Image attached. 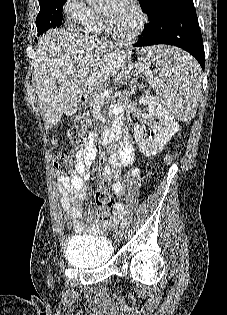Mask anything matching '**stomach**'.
Segmentation results:
<instances>
[{
	"label": "stomach",
	"mask_w": 227,
	"mask_h": 315,
	"mask_svg": "<svg viewBox=\"0 0 227 315\" xmlns=\"http://www.w3.org/2000/svg\"><path fill=\"white\" fill-rule=\"evenodd\" d=\"M117 63L114 65V70L119 69L121 62L119 60H116ZM106 73V70L104 68H97L96 71H92L91 72V77L92 78H101L102 75H104ZM84 96V98L87 99V101H89V94L87 92V85L84 87L83 91H82V97Z\"/></svg>",
	"instance_id": "obj_1"
}]
</instances>
